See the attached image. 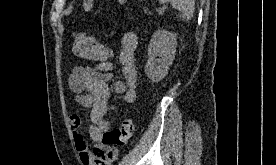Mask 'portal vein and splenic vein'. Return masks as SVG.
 Returning a JSON list of instances; mask_svg holds the SVG:
<instances>
[{"instance_id": "1", "label": "portal vein and splenic vein", "mask_w": 276, "mask_h": 165, "mask_svg": "<svg viewBox=\"0 0 276 165\" xmlns=\"http://www.w3.org/2000/svg\"><path fill=\"white\" fill-rule=\"evenodd\" d=\"M164 10H165V7H162V8H159V9H158V12H159V13H162V12H164Z\"/></svg>"}]
</instances>
